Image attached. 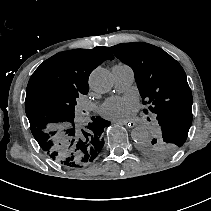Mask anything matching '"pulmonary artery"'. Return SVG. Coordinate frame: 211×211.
<instances>
[{
    "instance_id": "1",
    "label": "pulmonary artery",
    "mask_w": 211,
    "mask_h": 211,
    "mask_svg": "<svg viewBox=\"0 0 211 211\" xmlns=\"http://www.w3.org/2000/svg\"><path fill=\"white\" fill-rule=\"evenodd\" d=\"M112 72L115 78V88L118 91L128 89L135 80L133 69L126 64H117L112 67ZM88 105H80V110H88Z\"/></svg>"
}]
</instances>
